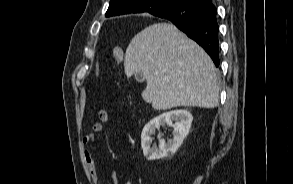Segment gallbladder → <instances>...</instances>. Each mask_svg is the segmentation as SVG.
Masks as SVG:
<instances>
[{"label":"gallbladder","instance_id":"gallbladder-1","mask_svg":"<svg viewBox=\"0 0 293 184\" xmlns=\"http://www.w3.org/2000/svg\"><path fill=\"white\" fill-rule=\"evenodd\" d=\"M135 79H136V81H138V82H143L145 78H144L143 73H142V72H139V73H136V74H135Z\"/></svg>","mask_w":293,"mask_h":184}]
</instances>
